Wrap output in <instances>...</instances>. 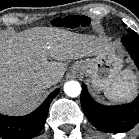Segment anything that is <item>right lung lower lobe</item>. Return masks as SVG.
<instances>
[{
  "instance_id": "right-lung-lower-lobe-1",
  "label": "right lung lower lobe",
  "mask_w": 139,
  "mask_h": 139,
  "mask_svg": "<svg viewBox=\"0 0 139 139\" xmlns=\"http://www.w3.org/2000/svg\"><path fill=\"white\" fill-rule=\"evenodd\" d=\"M59 89L52 92L46 100L32 113L21 117L0 114V137L2 139H31L43 128L51 101Z\"/></svg>"
}]
</instances>
